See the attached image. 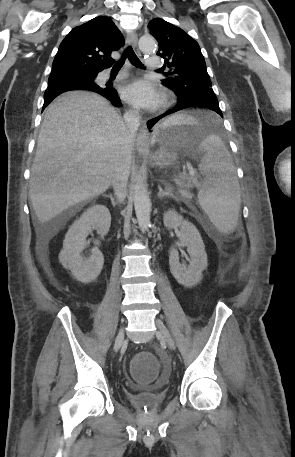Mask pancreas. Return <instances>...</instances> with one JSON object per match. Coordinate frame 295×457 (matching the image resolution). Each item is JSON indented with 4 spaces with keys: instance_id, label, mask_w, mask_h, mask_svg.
<instances>
[{
    "instance_id": "obj_1",
    "label": "pancreas",
    "mask_w": 295,
    "mask_h": 457,
    "mask_svg": "<svg viewBox=\"0 0 295 457\" xmlns=\"http://www.w3.org/2000/svg\"><path fill=\"white\" fill-rule=\"evenodd\" d=\"M187 186L191 187V183L188 182ZM180 193L182 195V200L185 202H187L188 200H190L192 198V194L189 191H187L186 189H181Z\"/></svg>"
}]
</instances>
